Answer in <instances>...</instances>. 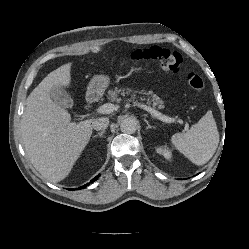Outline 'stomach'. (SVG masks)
Masks as SVG:
<instances>
[{
	"mask_svg": "<svg viewBox=\"0 0 249 249\" xmlns=\"http://www.w3.org/2000/svg\"><path fill=\"white\" fill-rule=\"evenodd\" d=\"M110 83V79L105 75H96L89 83L88 91L92 93H103Z\"/></svg>",
	"mask_w": 249,
	"mask_h": 249,
	"instance_id": "0dacf381",
	"label": "stomach"
}]
</instances>
